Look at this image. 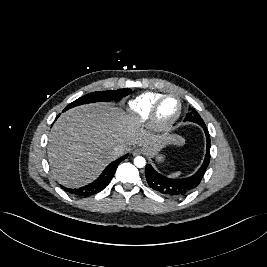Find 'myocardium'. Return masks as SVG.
<instances>
[{"label": "myocardium", "instance_id": "1", "mask_svg": "<svg viewBox=\"0 0 267 267\" xmlns=\"http://www.w3.org/2000/svg\"><path fill=\"white\" fill-rule=\"evenodd\" d=\"M168 98H175L178 101L179 108L173 119H171L168 122H162L158 118V112H159V109L162 103ZM182 110H183V103H182L181 98L178 95L174 93L162 95L159 99L156 100V102L154 103L151 109L149 119H148L149 127L153 131L158 132V133L170 131L180 119Z\"/></svg>", "mask_w": 267, "mask_h": 267}]
</instances>
